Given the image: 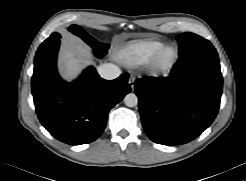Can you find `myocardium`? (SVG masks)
I'll use <instances>...</instances> for the list:
<instances>
[{
    "instance_id": "myocardium-1",
    "label": "myocardium",
    "mask_w": 246,
    "mask_h": 181,
    "mask_svg": "<svg viewBox=\"0 0 246 181\" xmlns=\"http://www.w3.org/2000/svg\"><path fill=\"white\" fill-rule=\"evenodd\" d=\"M172 50L173 56L170 60L165 61L164 55L167 51ZM180 58V51L175 45L162 46L147 62L146 65L154 75H167L177 65Z\"/></svg>"
}]
</instances>
